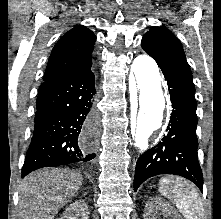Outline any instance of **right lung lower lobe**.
<instances>
[{
  "instance_id": "1",
  "label": "right lung lower lobe",
  "mask_w": 221,
  "mask_h": 219,
  "mask_svg": "<svg viewBox=\"0 0 221 219\" xmlns=\"http://www.w3.org/2000/svg\"><path fill=\"white\" fill-rule=\"evenodd\" d=\"M91 66L92 62L41 84L22 178L42 167L74 165L95 158L91 150L96 89ZM87 142L91 146L83 147Z\"/></svg>"
}]
</instances>
